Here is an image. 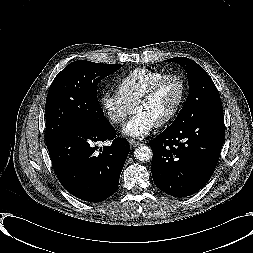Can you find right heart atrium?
Here are the masks:
<instances>
[{"label": "right heart atrium", "instance_id": "right-heart-atrium-1", "mask_svg": "<svg viewBox=\"0 0 253 253\" xmlns=\"http://www.w3.org/2000/svg\"><path fill=\"white\" fill-rule=\"evenodd\" d=\"M100 105L105 117L116 125H123L132 114L133 106L130 105L118 92L105 93L100 99Z\"/></svg>", "mask_w": 253, "mask_h": 253}]
</instances>
